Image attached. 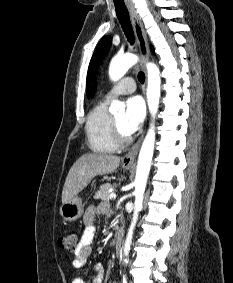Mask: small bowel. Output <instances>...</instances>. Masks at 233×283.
<instances>
[{
	"instance_id": "c3829d8e",
	"label": "small bowel",
	"mask_w": 233,
	"mask_h": 283,
	"mask_svg": "<svg viewBox=\"0 0 233 283\" xmlns=\"http://www.w3.org/2000/svg\"><path fill=\"white\" fill-rule=\"evenodd\" d=\"M109 211L106 204L90 205L83 218L84 229L81 240L74 252L73 266L81 268L85 265L88 257L92 253V245L96 233V227L94 220L97 214H107ZM72 283H86L82 278L75 277ZM88 283H103V267L101 264H97L94 267V275Z\"/></svg>"
}]
</instances>
